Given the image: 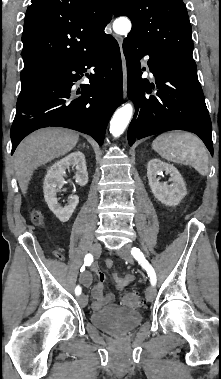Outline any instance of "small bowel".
<instances>
[{
    "label": "small bowel",
    "mask_w": 221,
    "mask_h": 379,
    "mask_svg": "<svg viewBox=\"0 0 221 379\" xmlns=\"http://www.w3.org/2000/svg\"><path fill=\"white\" fill-rule=\"evenodd\" d=\"M108 268L113 266V262L111 260H106L105 262ZM115 280V288L118 292H122L126 286H128L134 279L133 275L125 274V275H113ZM96 278L97 282L92 288V297L94 298V302L92 307L94 310H99L106 304H109L114 301V294L111 292L104 293V283H105V275L99 270L97 265H92L90 267V272L84 271L80 275V282L84 286H90L93 282V279Z\"/></svg>",
    "instance_id": "1"
}]
</instances>
